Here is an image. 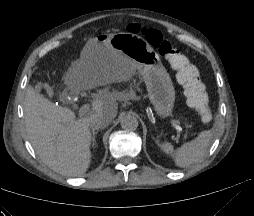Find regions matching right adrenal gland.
Wrapping results in <instances>:
<instances>
[{
	"mask_svg": "<svg viewBox=\"0 0 254 216\" xmlns=\"http://www.w3.org/2000/svg\"><path fill=\"white\" fill-rule=\"evenodd\" d=\"M98 132L97 131H93L92 133V147L96 146V139H95V135L97 134Z\"/></svg>",
	"mask_w": 254,
	"mask_h": 216,
	"instance_id": "obj_1",
	"label": "right adrenal gland"
}]
</instances>
